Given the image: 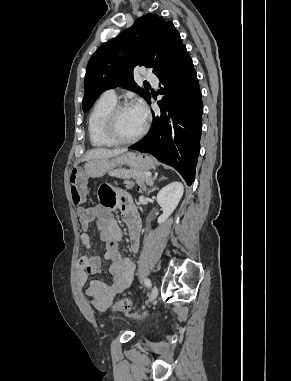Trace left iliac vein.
Here are the masks:
<instances>
[{"label": "left iliac vein", "instance_id": "1", "mask_svg": "<svg viewBox=\"0 0 291 381\" xmlns=\"http://www.w3.org/2000/svg\"><path fill=\"white\" fill-rule=\"evenodd\" d=\"M157 296H158V287L156 285H154L152 290H151L148 303L153 302L157 298Z\"/></svg>", "mask_w": 291, "mask_h": 381}]
</instances>
